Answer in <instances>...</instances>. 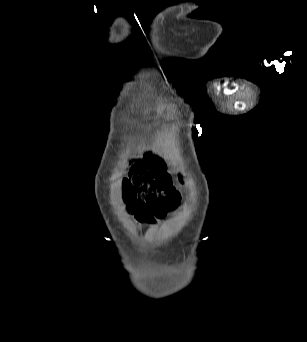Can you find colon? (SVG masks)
<instances>
[{
    "label": "colon",
    "instance_id": "5ec220e1",
    "mask_svg": "<svg viewBox=\"0 0 307 342\" xmlns=\"http://www.w3.org/2000/svg\"><path fill=\"white\" fill-rule=\"evenodd\" d=\"M130 179L124 187L127 199H143L148 202L151 199L160 198L162 205L151 209L154 212H163L177 206L180 202V193L174 187L172 177L167 173L163 160L154 155L152 158L137 162L131 167ZM178 182L185 186L186 178L183 174L178 175ZM128 207L131 200L127 202Z\"/></svg>",
    "mask_w": 307,
    "mask_h": 342
}]
</instances>
